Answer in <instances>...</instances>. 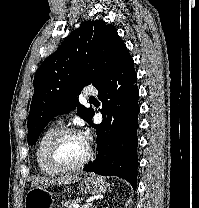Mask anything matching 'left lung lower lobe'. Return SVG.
I'll return each mask as SVG.
<instances>
[{"label":"left lung lower lobe","instance_id":"obj_1","mask_svg":"<svg viewBox=\"0 0 199 208\" xmlns=\"http://www.w3.org/2000/svg\"><path fill=\"white\" fill-rule=\"evenodd\" d=\"M131 56L125 58L98 87L103 120L95 126L98 156L84 167L100 175H115L137 186L139 90ZM94 115V113H93ZM92 115V117H93ZM92 127V118L90 121Z\"/></svg>","mask_w":199,"mask_h":208}]
</instances>
